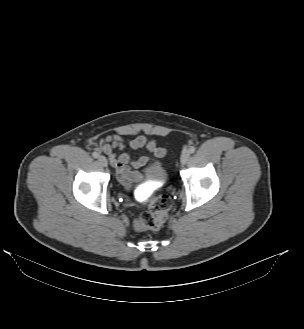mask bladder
Masks as SVG:
<instances>
[{
	"label": "bladder",
	"mask_w": 304,
	"mask_h": 329,
	"mask_svg": "<svg viewBox=\"0 0 304 329\" xmlns=\"http://www.w3.org/2000/svg\"><path fill=\"white\" fill-rule=\"evenodd\" d=\"M167 171L162 161L159 159L151 162L145 168V179L153 181H163L166 179Z\"/></svg>",
	"instance_id": "bladder-1"
}]
</instances>
